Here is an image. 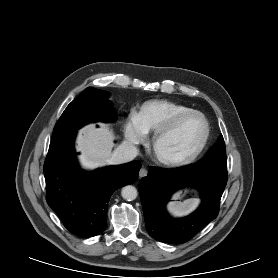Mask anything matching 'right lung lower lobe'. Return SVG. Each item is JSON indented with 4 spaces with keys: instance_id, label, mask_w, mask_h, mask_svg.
I'll list each match as a JSON object with an SVG mask.
<instances>
[{
    "instance_id": "obj_1",
    "label": "right lung lower lobe",
    "mask_w": 278,
    "mask_h": 278,
    "mask_svg": "<svg viewBox=\"0 0 278 278\" xmlns=\"http://www.w3.org/2000/svg\"><path fill=\"white\" fill-rule=\"evenodd\" d=\"M75 135L73 132L50 143L44 163L46 200L71 233L93 237L107 227L111 195L137 180L141 163L132 161L84 173L76 161Z\"/></svg>"
}]
</instances>
